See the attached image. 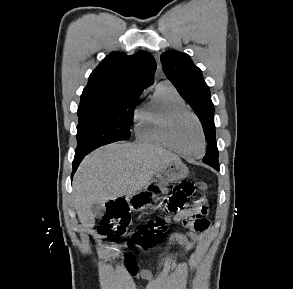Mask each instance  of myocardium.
I'll use <instances>...</instances> for the list:
<instances>
[{"instance_id":"1","label":"myocardium","mask_w":293,"mask_h":289,"mask_svg":"<svg viewBox=\"0 0 293 289\" xmlns=\"http://www.w3.org/2000/svg\"><path fill=\"white\" fill-rule=\"evenodd\" d=\"M183 115L191 116L195 120V122L199 128L201 139H202V147H201V151L198 155H195V156L188 155V154L184 153L182 150H180L176 144V141L174 138L175 122L177 121L178 118H180ZM165 133H166L167 141H168L169 145L171 146L172 150L175 151L181 157L186 158V159H199L204 155V153L206 151V147H207L204 128L202 126V123H201L199 117L194 112L189 110L188 108L180 107V108H176L173 111H171V113L169 114L167 121H166Z\"/></svg>"}]
</instances>
